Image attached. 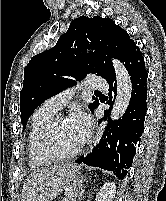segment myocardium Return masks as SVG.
<instances>
[{
    "label": "myocardium",
    "mask_w": 166,
    "mask_h": 201,
    "mask_svg": "<svg viewBox=\"0 0 166 201\" xmlns=\"http://www.w3.org/2000/svg\"><path fill=\"white\" fill-rule=\"evenodd\" d=\"M64 119L65 117L56 115L47 121L39 130L36 146L40 157H46L51 160H66L77 156L82 151L83 144L70 152H60L54 147V129L60 122L64 121Z\"/></svg>",
    "instance_id": "1"
}]
</instances>
